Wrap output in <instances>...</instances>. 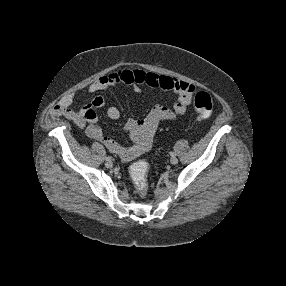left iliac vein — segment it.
Returning a JSON list of instances; mask_svg holds the SVG:
<instances>
[{
    "mask_svg": "<svg viewBox=\"0 0 286 286\" xmlns=\"http://www.w3.org/2000/svg\"><path fill=\"white\" fill-rule=\"evenodd\" d=\"M170 162H171V164H177L178 163V158L173 156V157H171Z\"/></svg>",
    "mask_w": 286,
    "mask_h": 286,
    "instance_id": "left-iliac-vein-1",
    "label": "left iliac vein"
}]
</instances>
